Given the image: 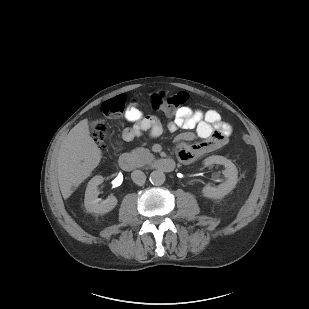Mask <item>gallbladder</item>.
<instances>
[{
    "mask_svg": "<svg viewBox=\"0 0 309 309\" xmlns=\"http://www.w3.org/2000/svg\"><path fill=\"white\" fill-rule=\"evenodd\" d=\"M98 125V122L97 121H92L91 123H90V127H91V129H95V127Z\"/></svg>",
    "mask_w": 309,
    "mask_h": 309,
    "instance_id": "obj_1",
    "label": "gallbladder"
}]
</instances>
